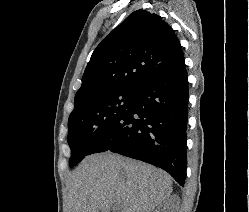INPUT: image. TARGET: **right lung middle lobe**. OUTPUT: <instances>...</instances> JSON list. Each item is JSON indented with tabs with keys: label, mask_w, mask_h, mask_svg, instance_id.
I'll return each instance as SVG.
<instances>
[{
	"label": "right lung middle lobe",
	"mask_w": 249,
	"mask_h": 212,
	"mask_svg": "<svg viewBox=\"0 0 249 212\" xmlns=\"http://www.w3.org/2000/svg\"><path fill=\"white\" fill-rule=\"evenodd\" d=\"M135 92H112L96 96L75 107L68 120L69 166L90 155L93 146L131 105Z\"/></svg>",
	"instance_id": "1"
}]
</instances>
